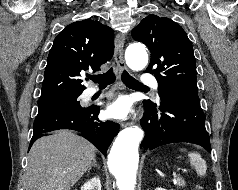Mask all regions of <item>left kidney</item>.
I'll list each match as a JSON object with an SVG mask.
<instances>
[{"instance_id":"left-kidney-1","label":"left kidney","mask_w":238,"mask_h":190,"mask_svg":"<svg viewBox=\"0 0 238 190\" xmlns=\"http://www.w3.org/2000/svg\"><path fill=\"white\" fill-rule=\"evenodd\" d=\"M155 190H166V189L161 188V187H158V188H156Z\"/></svg>"}]
</instances>
